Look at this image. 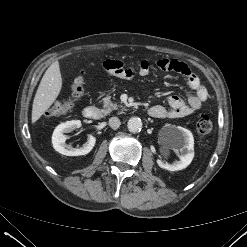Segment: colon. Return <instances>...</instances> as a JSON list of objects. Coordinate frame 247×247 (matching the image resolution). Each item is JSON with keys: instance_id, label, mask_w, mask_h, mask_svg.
<instances>
[{"instance_id": "colon-1", "label": "colon", "mask_w": 247, "mask_h": 247, "mask_svg": "<svg viewBox=\"0 0 247 247\" xmlns=\"http://www.w3.org/2000/svg\"><path fill=\"white\" fill-rule=\"evenodd\" d=\"M84 93V81L81 76H77L73 79L70 96L67 100L54 104L47 111L48 116H60L66 114L75 104V102L81 98ZM213 127V123L209 116L202 115L196 121V130L200 134H208Z\"/></svg>"}]
</instances>
